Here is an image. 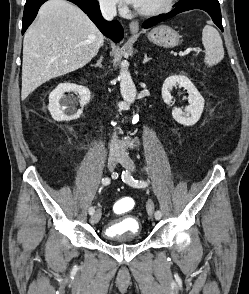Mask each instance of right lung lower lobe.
<instances>
[{
    "instance_id": "98d812e1",
    "label": "right lung lower lobe",
    "mask_w": 249,
    "mask_h": 294,
    "mask_svg": "<svg viewBox=\"0 0 249 294\" xmlns=\"http://www.w3.org/2000/svg\"><path fill=\"white\" fill-rule=\"evenodd\" d=\"M47 0H26L24 14L22 34L26 31L29 25L35 19L40 6ZM80 7L88 17L95 23L99 30L107 37L115 42L120 41L123 38L124 32L122 26L118 21L113 20L111 22L106 21L100 12L99 3L97 0H68Z\"/></svg>"
}]
</instances>
